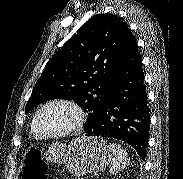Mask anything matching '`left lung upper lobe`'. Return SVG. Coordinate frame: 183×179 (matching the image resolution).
<instances>
[{"label":"left lung upper lobe","mask_w":183,"mask_h":179,"mask_svg":"<svg viewBox=\"0 0 183 179\" xmlns=\"http://www.w3.org/2000/svg\"><path fill=\"white\" fill-rule=\"evenodd\" d=\"M129 32L117 15L91 17L46 64L25 112L47 100H74L88 114V132L107 100Z\"/></svg>","instance_id":"5c2ea615"}]
</instances>
